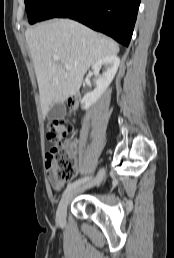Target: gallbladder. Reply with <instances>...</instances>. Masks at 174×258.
Instances as JSON below:
<instances>
[{"label": "gallbladder", "mask_w": 174, "mask_h": 258, "mask_svg": "<svg viewBox=\"0 0 174 258\" xmlns=\"http://www.w3.org/2000/svg\"><path fill=\"white\" fill-rule=\"evenodd\" d=\"M65 116V107L62 103H54L48 111L47 118L49 120L62 119Z\"/></svg>", "instance_id": "gallbladder-1"}]
</instances>
